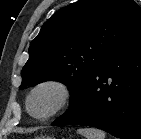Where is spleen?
I'll use <instances>...</instances> for the list:
<instances>
[{"label":"spleen","mask_w":141,"mask_h":139,"mask_svg":"<svg viewBox=\"0 0 141 139\" xmlns=\"http://www.w3.org/2000/svg\"><path fill=\"white\" fill-rule=\"evenodd\" d=\"M78 133L85 137V139H105V133L96 128H81Z\"/></svg>","instance_id":"1"}]
</instances>
